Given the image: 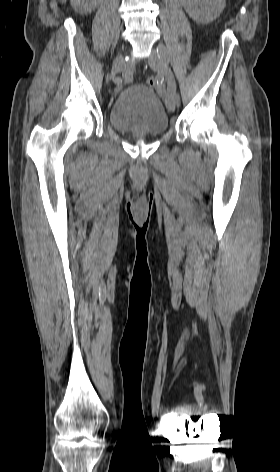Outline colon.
Instances as JSON below:
<instances>
[{
  "instance_id": "colon-1",
  "label": "colon",
  "mask_w": 280,
  "mask_h": 472,
  "mask_svg": "<svg viewBox=\"0 0 280 472\" xmlns=\"http://www.w3.org/2000/svg\"><path fill=\"white\" fill-rule=\"evenodd\" d=\"M146 82L151 87H157L159 85V81L155 77H148Z\"/></svg>"
}]
</instances>
